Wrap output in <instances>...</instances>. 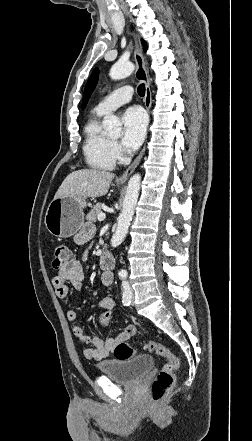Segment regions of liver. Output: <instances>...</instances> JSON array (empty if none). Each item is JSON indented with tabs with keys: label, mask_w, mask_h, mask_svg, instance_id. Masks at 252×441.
<instances>
[{
	"label": "liver",
	"mask_w": 252,
	"mask_h": 441,
	"mask_svg": "<svg viewBox=\"0 0 252 441\" xmlns=\"http://www.w3.org/2000/svg\"><path fill=\"white\" fill-rule=\"evenodd\" d=\"M115 174L98 169H81L70 173L62 182L54 198H97L107 194Z\"/></svg>",
	"instance_id": "obj_1"
}]
</instances>
